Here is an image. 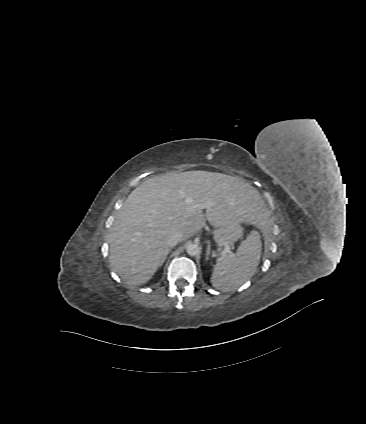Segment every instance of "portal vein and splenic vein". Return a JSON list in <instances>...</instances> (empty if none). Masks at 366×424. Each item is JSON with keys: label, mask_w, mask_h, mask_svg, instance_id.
I'll use <instances>...</instances> for the list:
<instances>
[{"label": "portal vein and splenic vein", "mask_w": 366, "mask_h": 424, "mask_svg": "<svg viewBox=\"0 0 366 424\" xmlns=\"http://www.w3.org/2000/svg\"><path fill=\"white\" fill-rule=\"evenodd\" d=\"M209 207V203H200V204H196L195 208L197 209H204ZM224 252L229 253L230 252V247L228 245L225 246L224 248Z\"/></svg>", "instance_id": "18ae733b"}]
</instances>
